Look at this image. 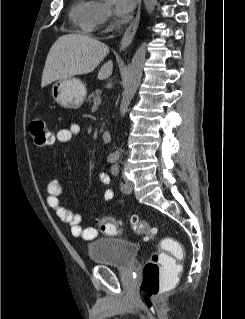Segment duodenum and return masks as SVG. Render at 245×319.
Returning <instances> with one entry per match:
<instances>
[{"label": "duodenum", "instance_id": "410a0bca", "mask_svg": "<svg viewBox=\"0 0 245 319\" xmlns=\"http://www.w3.org/2000/svg\"><path fill=\"white\" fill-rule=\"evenodd\" d=\"M102 139L104 142L108 143L111 140V132L109 130H104L102 133Z\"/></svg>", "mask_w": 245, "mask_h": 319}]
</instances>
